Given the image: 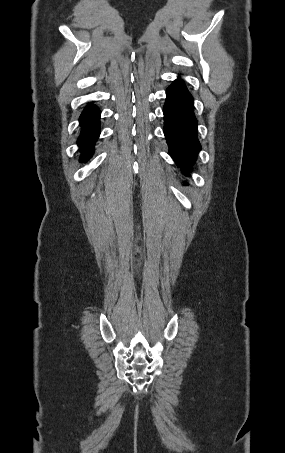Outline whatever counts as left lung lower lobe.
<instances>
[{
    "label": "left lung lower lobe",
    "instance_id": "obj_1",
    "mask_svg": "<svg viewBox=\"0 0 285 453\" xmlns=\"http://www.w3.org/2000/svg\"><path fill=\"white\" fill-rule=\"evenodd\" d=\"M163 113L164 134L170 155L188 175L196 162L201 145L197 137L194 100L180 79L166 90Z\"/></svg>",
    "mask_w": 285,
    "mask_h": 453
}]
</instances>
